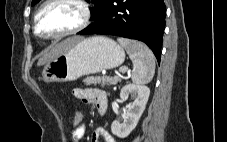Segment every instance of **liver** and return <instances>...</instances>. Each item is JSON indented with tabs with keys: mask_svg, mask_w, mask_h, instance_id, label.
Instances as JSON below:
<instances>
[{
	"mask_svg": "<svg viewBox=\"0 0 227 142\" xmlns=\"http://www.w3.org/2000/svg\"><path fill=\"white\" fill-rule=\"evenodd\" d=\"M80 40H82L81 37H71V38L65 39L62 42L58 43L53 48H51V50L48 53H46L44 56H42L39 59V61L37 63V66L45 65L46 63H48L51 60L55 59L59 55H61L64 52H66L76 42H79Z\"/></svg>",
	"mask_w": 227,
	"mask_h": 142,
	"instance_id": "1",
	"label": "liver"
}]
</instances>
